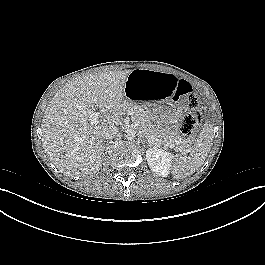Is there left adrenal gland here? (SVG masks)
Masks as SVG:
<instances>
[{
  "instance_id": "left-adrenal-gland-1",
  "label": "left adrenal gland",
  "mask_w": 265,
  "mask_h": 265,
  "mask_svg": "<svg viewBox=\"0 0 265 265\" xmlns=\"http://www.w3.org/2000/svg\"><path fill=\"white\" fill-rule=\"evenodd\" d=\"M143 142L148 143L150 145V142L149 141H146V139L144 137H143Z\"/></svg>"
}]
</instances>
